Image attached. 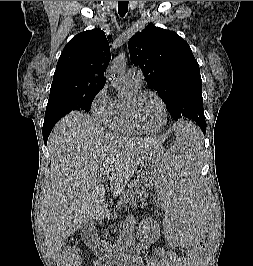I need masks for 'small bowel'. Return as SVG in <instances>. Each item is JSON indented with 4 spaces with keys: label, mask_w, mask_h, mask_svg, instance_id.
<instances>
[{
    "label": "small bowel",
    "mask_w": 253,
    "mask_h": 266,
    "mask_svg": "<svg viewBox=\"0 0 253 266\" xmlns=\"http://www.w3.org/2000/svg\"><path fill=\"white\" fill-rule=\"evenodd\" d=\"M155 254L159 256V258H150L146 262H143L137 252H124L119 257V264L121 266H180L181 260L172 250L158 247L155 249ZM102 259L93 262L92 266H104Z\"/></svg>",
    "instance_id": "c3829d8e"
}]
</instances>
